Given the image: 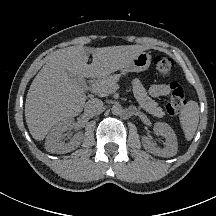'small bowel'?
<instances>
[{"label": "small bowel", "instance_id": "obj_1", "mask_svg": "<svg viewBox=\"0 0 216 216\" xmlns=\"http://www.w3.org/2000/svg\"><path fill=\"white\" fill-rule=\"evenodd\" d=\"M169 92H170L169 86L163 83L153 84L149 88V93L152 97H163L168 95Z\"/></svg>", "mask_w": 216, "mask_h": 216}]
</instances>
